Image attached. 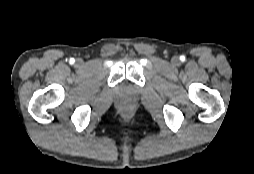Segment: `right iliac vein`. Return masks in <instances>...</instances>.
Wrapping results in <instances>:
<instances>
[{
    "label": "right iliac vein",
    "mask_w": 254,
    "mask_h": 174,
    "mask_svg": "<svg viewBox=\"0 0 254 174\" xmlns=\"http://www.w3.org/2000/svg\"><path fill=\"white\" fill-rule=\"evenodd\" d=\"M77 64L78 65H82L83 64V61L81 59H77Z\"/></svg>",
    "instance_id": "right-iliac-vein-1"
}]
</instances>
